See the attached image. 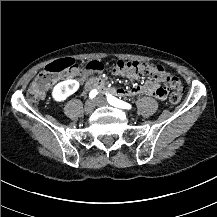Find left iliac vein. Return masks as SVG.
<instances>
[{"label": "left iliac vein", "instance_id": "4c4485c4", "mask_svg": "<svg viewBox=\"0 0 217 217\" xmlns=\"http://www.w3.org/2000/svg\"><path fill=\"white\" fill-rule=\"evenodd\" d=\"M95 102L97 105H106L107 104V101L105 99H102V98H96Z\"/></svg>", "mask_w": 217, "mask_h": 217}]
</instances>
